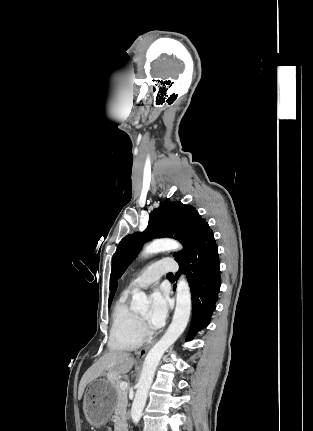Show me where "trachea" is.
Segmentation results:
<instances>
[{
    "mask_svg": "<svg viewBox=\"0 0 313 431\" xmlns=\"http://www.w3.org/2000/svg\"><path fill=\"white\" fill-rule=\"evenodd\" d=\"M170 276H173V274H171V273L167 274V277H170Z\"/></svg>",
    "mask_w": 313,
    "mask_h": 431,
    "instance_id": "1",
    "label": "trachea"
}]
</instances>
